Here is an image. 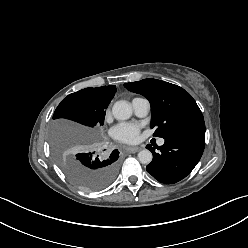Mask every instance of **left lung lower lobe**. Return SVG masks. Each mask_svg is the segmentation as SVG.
Here are the masks:
<instances>
[{"mask_svg":"<svg viewBox=\"0 0 248 248\" xmlns=\"http://www.w3.org/2000/svg\"><path fill=\"white\" fill-rule=\"evenodd\" d=\"M204 146V121L185 126L166 138L164 145L156 147L160 153H156L151 145L146 146L153 153V160L146 170L161 183H176L193 170Z\"/></svg>","mask_w":248,"mask_h":248,"instance_id":"left-lung-lower-lobe-1","label":"left lung lower lobe"}]
</instances>
